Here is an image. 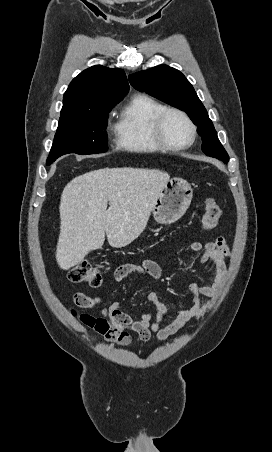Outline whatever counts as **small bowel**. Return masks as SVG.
Listing matches in <instances>:
<instances>
[{"mask_svg":"<svg viewBox=\"0 0 272 452\" xmlns=\"http://www.w3.org/2000/svg\"><path fill=\"white\" fill-rule=\"evenodd\" d=\"M190 250L198 256V262L203 264L210 261L212 264L213 281L211 284L190 283L188 292L191 295V305L187 309L179 310L172 315L156 292H149L148 301L156 308V314L146 312L137 319H132L113 302L100 307V316L83 313L78 316L80 322L89 329L102 335L110 345L128 346L131 342L130 333L135 332L144 341H149L153 334L158 340H166L184 328L192 319L201 317L208 309L210 303L203 304V298H214L218 295L227 278V259L231 250L223 236L205 244L191 242ZM131 274H143L153 279H160L161 268L151 259H144L136 263H125L115 270V279L123 281ZM101 296L76 293L74 301L77 306L84 309H93L100 305ZM172 317L170 323L162 327L163 321ZM153 320V321H152Z\"/></svg>","mask_w":272,"mask_h":452,"instance_id":"1","label":"small bowel"}]
</instances>
